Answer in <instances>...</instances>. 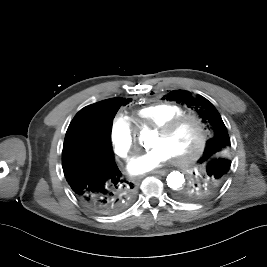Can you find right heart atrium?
Masks as SVG:
<instances>
[{
  "instance_id": "obj_1",
  "label": "right heart atrium",
  "mask_w": 267,
  "mask_h": 267,
  "mask_svg": "<svg viewBox=\"0 0 267 267\" xmlns=\"http://www.w3.org/2000/svg\"><path fill=\"white\" fill-rule=\"evenodd\" d=\"M111 143L115 154L122 159H129L135 144L136 134L128 118L121 114L112 120Z\"/></svg>"
}]
</instances>
